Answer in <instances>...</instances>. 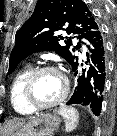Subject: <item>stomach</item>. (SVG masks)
<instances>
[{
  "label": "stomach",
  "instance_id": "1",
  "mask_svg": "<svg viewBox=\"0 0 117 136\" xmlns=\"http://www.w3.org/2000/svg\"><path fill=\"white\" fill-rule=\"evenodd\" d=\"M60 124V118L50 113L40 114L11 136H49Z\"/></svg>",
  "mask_w": 117,
  "mask_h": 136
}]
</instances>
